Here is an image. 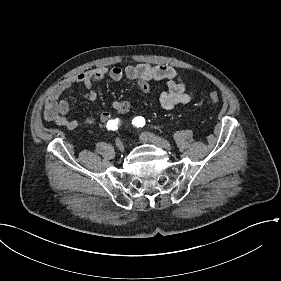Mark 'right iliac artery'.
<instances>
[{
	"label": "right iliac artery",
	"mask_w": 281,
	"mask_h": 281,
	"mask_svg": "<svg viewBox=\"0 0 281 281\" xmlns=\"http://www.w3.org/2000/svg\"><path fill=\"white\" fill-rule=\"evenodd\" d=\"M119 119H113L108 121L107 129L108 130H116L118 128Z\"/></svg>",
	"instance_id": "obj_1"
}]
</instances>
